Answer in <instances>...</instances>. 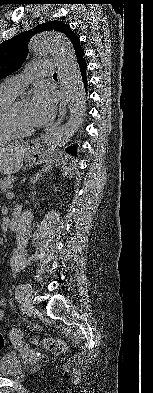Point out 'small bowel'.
I'll return each mask as SVG.
<instances>
[{"label": "small bowel", "instance_id": "1", "mask_svg": "<svg viewBox=\"0 0 153 393\" xmlns=\"http://www.w3.org/2000/svg\"><path fill=\"white\" fill-rule=\"evenodd\" d=\"M6 304L5 300H2L0 303V320L2 319L3 315H4V306Z\"/></svg>", "mask_w": 153, "mask_h": 393}]
</instances>
